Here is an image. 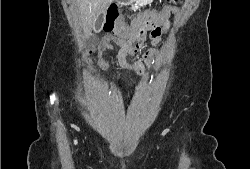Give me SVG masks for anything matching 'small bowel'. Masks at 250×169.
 Wrapping results in <instances>:
<instances>
[{"label":"small bowel","instance_id":"obj_1","mask_svg":"<svg viewBox=\"0 0 250 169\" xmlns=\"http://www.w3.org/2000/svg\"><path fill=\"white\" fill-rule=\"evenodd\" d=\"M141 21H142V18H139L133 21L130 27H126L124 31L120 33H116L115 35H106L103 37L100 43L99 51L97 55V61L100 65L107 66V61L104 58L100 59L101 52L106 49L112 48L113 44L116 43L120 46V50H119L118 57H117L119 64L124 68H133L138 73L143 72L144 67L141 61L131 64L126 60L127 55H129L130 53L138 52L142 46V45L140 46L135 45L133 42V38H132L133 35L136 33V30ZM154 42L155 44H158L159 39L155 38ZM156 57H157V51L155 49L150 50L149 52L145 53L144 61L149 67H153L155 64Z\"/></svg>","mask_w":250,"mask_h":169}]
</instances>
